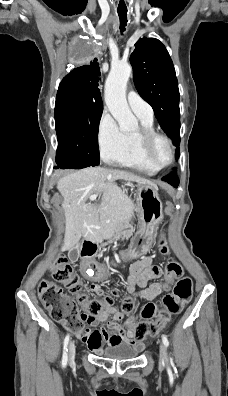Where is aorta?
<instances>
[{"label": "aorta", "instance_id": "1", "mask_svg": "<svg viewBox=\"0 0 228 396\" xmlns=\"http://www.w3.org/2000/svg\"><path fill=\"white\" fill-rule=\"evenodd\" d=\"M131 72L132 68L128 63L115 64L111 67L105 83V103L122 132L134 131L138 126L126 100V86Z\"/></svg>", "mask_w": 228, "mask_h": 396}]
</instances>
